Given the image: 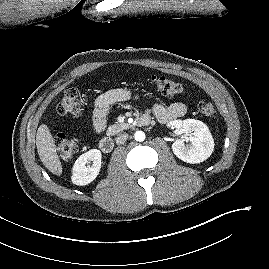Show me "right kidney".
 Segmentation results:
<instances>
[{
    "instance_id": "ca27d5eb",
    "label": "right kidney",
    "mask_w": 269,
    "mask_h": 269,
    "mask_svg": "<svg viewBox=\"0 0 269 269\" xmlns=\"http://www.w3.org/2000/svg\"><path fill=\"white\" fill-rule=\"evenodd\" d=\"M101 158V151L98 149H91L80 155L72 168V183L78 186L91 183L100 172Z\"/></svg>"
}]
</instances>
